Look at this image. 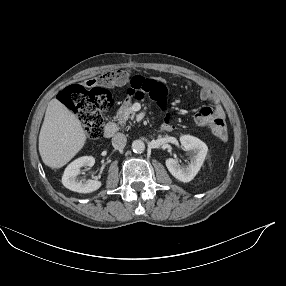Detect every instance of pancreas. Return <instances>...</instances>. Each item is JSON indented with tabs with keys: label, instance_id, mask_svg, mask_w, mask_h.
I'll return each instance as SVG.
<instances>
[{
	"label": "pancreas",
	"instance_id": "pancreas-1",
	"mask_svg": "<svg viewBox=\"0 0 286 286\" xmlns=\"http://www.w3.org/2000/svg\"><path fill=\"white\" fill-rule=\"evenodd\" d=\"M134 117L135 113L131 110L130 103L125 102L117 111L116 119L118 124H124L128 119H133Z\"/></svg>",
	"mask_w": 286,
	"mask_h": 286
}]
</instances>
